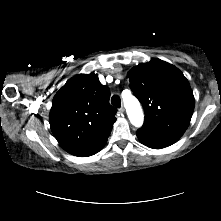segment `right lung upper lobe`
I'll return each mask as SVG.
<instances>
[{"mask_svg": "<svg viewBox=\"0 0 221 221\" xmlns=\"http://www.w3.org/2000/svg\"><path fill=\"white\" fill-rule=\"evenodd\" d=\"M109 98V87L94 73L66 82L55 95L49 116L51 130L63 149L86 157L104 147L117 112Z\"/></svg>", "mask_w": 221, "mask_h": 221, "instance_id": "cb5924a9", "label": "right lung upper lobe"}]
</instances>
